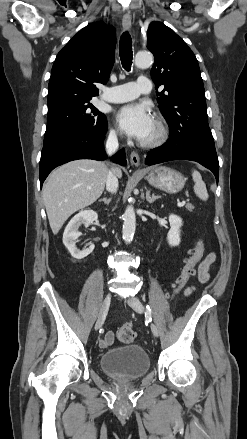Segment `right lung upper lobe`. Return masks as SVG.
<instances>
[{"mask_svg":"<svg viewBox=\"0 0 247 439\" xmlns=\"http://www.w3.org/2000/svg\"><path fill=\"white\" fill-rule=\"evenodd\" d=\"M116 35L104 23H90L58 53L48 85V109L61 102L91 100L106 84L114 64Z\"/></svg>","mask_w":247,"mask_h":439,"instance_id":"right-lung-upper-lobe-1","label":"right lung upper lobe"}]
</instances>
